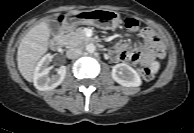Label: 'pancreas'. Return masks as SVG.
Wrapping results in <instances>:
<instances>
[{
  "instance_id": "1",
  "label": "pancreas",
  "mask_w": 194,
  "mask_h": 133,
  "mask_svg": "<svg viewBox=\"0 0 194 133\" xmlns=\"http://www.w3.org/2000/svg\"><path fill=\"white\" fill-rule=\"evenodd\" d=\"M63 38L68 47L81 46L90 41V38L85 36L83 28H77L75 31L64 35Z\"/></svg>"
}]
</instances>
